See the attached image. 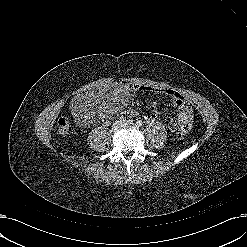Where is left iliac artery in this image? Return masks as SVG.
<instances>
[{
	"label": "left iliac artery",
	"mask_w": 247,
	"mask_h": 247,
	"mask_svg": "<svg viewBox=\"0 0 247 247\" xmlns=\"http://www.w3.org/2000/svg\"><path fill=\"white\" fill-rule=\"evenodd\" d=\"M136 124H137L138 127H140V126H142V121L139 120V121L136 122Z\"/></svg>",
	"instance_id": "44dca946"
}]
</instances>
